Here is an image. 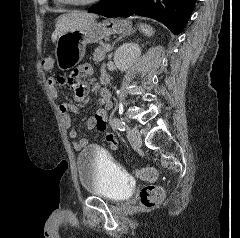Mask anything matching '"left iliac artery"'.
Returning <instances> with one entry per match:
<instances>
[{
	"label": "left iliac artery",
	"instance_id": "1",
	"mask_svg": "<svg viewBox=\"0 0 240 238\" xmlns=\"http://www.w3.org/2000/svg\"><path fill=\"white\" fill-rule=\"evenodd\" d=\"M113 125L121 131H125L128 129V126L126 125V123L117 118L113 119Z\"/></svg>",
	"mask_w": 240,
	"mask_h": 238
}]
</instances>
